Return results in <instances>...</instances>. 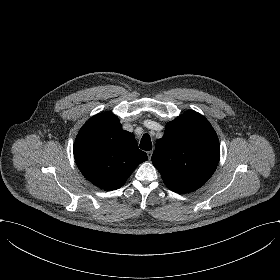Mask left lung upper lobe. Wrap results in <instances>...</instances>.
<instances>
[{
	"label": "left lung upper lobe",
	"instance_id": "5c2ea615",
	"mask_svg": "<svg viewBox=\"0 0 280 280\" xmlns=\"http://www.w3.org/2000/svg\"><path fill=\"white\" fill-rule=\"evenodd\" d=\"M219 158L220 146L213 127L204 116L189 110L167 123L151 160L170 190L188 193L212 176Z\"/></svg>",
	"mask_w": 280,
	"mask_h": 280
}]
</instances>
